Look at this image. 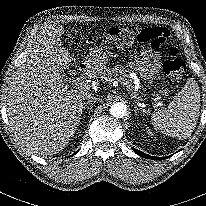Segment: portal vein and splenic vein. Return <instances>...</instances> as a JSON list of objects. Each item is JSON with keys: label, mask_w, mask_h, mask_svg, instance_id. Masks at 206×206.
I'll return each mask as SVG.
<instances>
[{"label": "portal vein and splenic vein", "mask_w": 206, "mask_h": 206, "mask_svg": "<svg viewBox=\"0 0 206 206\" xmlns=\"http://www.w3.org/2000/svg\"><path fill=\"white\" fill-rule=\"evenodd\" d=\"M83 83H84V82H83L82 80H79V79L72 81V84H73L76 88H77V87H80ZM124 84H125V85H128V82H125Z\"/></svg>", "instance_id": "obj_1"}]
</instances>
